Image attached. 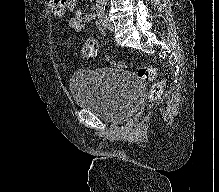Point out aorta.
<instances>
[{"label": "aorta", "instance_id": "762f6f07", "mask_svg": "<svg viewBox=\"0 0 219 192\" xmlns=\"http://www.w3.org/2000/svg\"><path fill=\"white\" fill-rule=\"evenodd\" d=\"M96 3L98 5H105L107 3V0H96Z\"/></svg>", "mask_w": 219, "mask_h": 192}]
</instances>
